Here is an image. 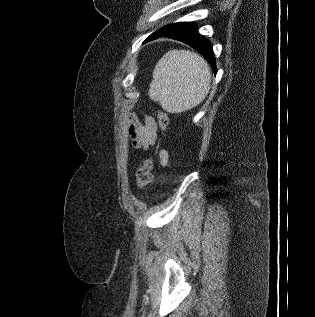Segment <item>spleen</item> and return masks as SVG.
<instances>
[{
  "label": "spleen",
  "instance_id": "obj_1",
  "mask_svg": "<svg viewBox=\"0 0 315 317\" xmlns=\"http://www.w3.org/2000/svg\"><path fill=\"white\" fill-rule=\"evenodd\" d=\"M207 62L189 50H170L158 61L149 96L169 113H181L201 103L210 89Z\"/></svg>",
  "mask_w": 315,
  "mask_h": 317
}]
</instances>
